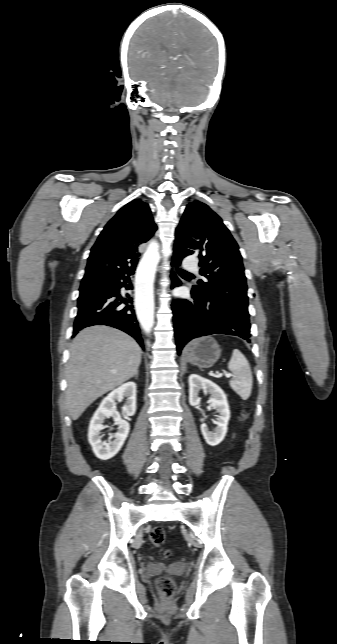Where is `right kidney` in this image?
Returning a JSON list of instances; mask_svg holds the SVG:
<instances>
[{"instance_id":"ca27d5eb","label":"right kidney","mask_w":337,"mask_h":644,"mask_svg":"<svg viewBox=\"0 0 337 644\" xmlns=\"http://www.w3.org/2000/svg\"><path fill=\"white\" fill-rule=\"evenodd\" d=\"M124 397L127 399L123 407V415L133 416L136 412V384L134 382H127L117 389H114L103 399L90 421L88 441L96 457L101 460H108L114 457L122 448L129 434V423L123 420L116 410V401L120 402ZM109 417L114 419L115 424L118 425V430L114 436H110L109 438L110 440L114 438L113 441L104 443L101 440L100 431L106 428L103 423Z\"/></svg>"}]
</instances>
